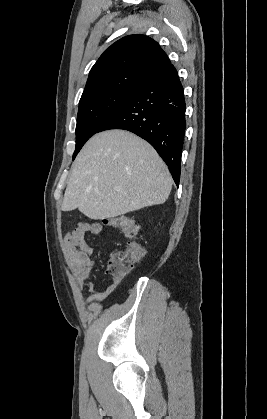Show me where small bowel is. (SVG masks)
<instances>
[{
	"label": "small bowel",
	"instance_id": "c3829d8e",
	"mask_svg": "<svg viewBox=\"0 0 267 419\" xmlns=\"http://www.w3.org/2000/svg\"><path fill=\"white\" fill-rule=\"evenodd\" d=\"M101 231L100 222H84L69 230L63 240L66 262L75 286L79 292L85 286L90 293L85 304L103 303L121 281L120 277H113L108 286L98 289L89 280L94 260L93 248L87 241V235H98Z\"/></svg>",
	"mask_w": 267,
	"mask_h": 419
}]
</instances>
